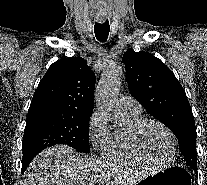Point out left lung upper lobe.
Wrapping results in <instances>:
<instances>
[{
    "mask_svg": "<svg viewBox=\"0 0 207 185\" xmlns=\"http://www.w3.org/2000/svg\"><path fill=\"white\" fill-rule=\"evenodd\" d=\"M123 62L132 96L175 134L187 163L197 164L194 116L174 73L147 52L129 49L123 55Z\"/></svg>",
    "mask_w": 207,
    "mask_h": 185,
    "instance_id": "1",
    "label": "left lung upper lobe"
}]
</instances>
